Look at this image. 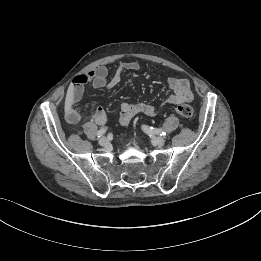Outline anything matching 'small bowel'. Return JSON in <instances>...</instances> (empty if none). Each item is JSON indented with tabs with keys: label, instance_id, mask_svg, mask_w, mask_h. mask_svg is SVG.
<instances>
[{
	"label": "small bowel",
	"instance_id": "small-bowel-1",
	"mask_svg": "<svg viewBox=\"0 0 261 261\" xmlns=\"http://www.w3.org/2000/svg\"><path fill=\"white\" fill-rule=\"evenodd\" d=\"M140 65L137 62L125 61L119 64L114 75L107 80L108 70L104 66H99L85 74L76 76L72 85L67 92V117L70 123H77L80 117L74 106L81 100L86 84L91 83L97 89H112L117 86L121 80V76L125 71H138ZM169 89L172 94L162 103L153 105L148 103H123L120 108L114 112L119 119L121 125H127L138 114L146 116L157 115L166 104H182L191 102L193 93L190 83L185 78L170 77L167 80ZM110 115L100 106H97L93 113V121L97 125H104L108 122Z\"/></svg>",
	"mask_w": 261,
	"mask_h": 261
}]
</instances>
